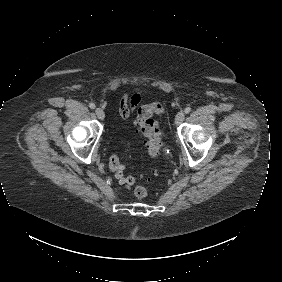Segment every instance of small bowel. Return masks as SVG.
Here are the masks:
<instances>
[{
    "label": "small bowel",
    "mask_w": 282,
    "mask_h": 282,
    "mask_svg": "<svg viewBox=\"0 0 282 282\" xmlns=\"http://www.w3.org/2000/svg\"><path fill=\"white\" fill-rule=\"evenodd\" d=\"M142 95L139 91L124 93L119 102V115L128 119L140 106Z\"/></svg>",
    "instance_id": "c3829d8e"
}]
</instances>
